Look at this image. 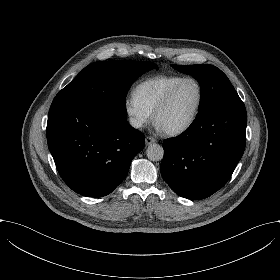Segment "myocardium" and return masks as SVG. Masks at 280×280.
<instances>
[{"label":"myocardium","instance_id":"1","mask_svg":"<svg viewBox=\"0 0 280 280\" xmlns=\"http://www.w3.org/2000/svg\"><path fill=\"white\" fill-rule=\"evenodd\" d=\"M187 81H194L198 85V88H199L198 104H197L196 110L190 120H188L184 124H181L172 129L166 130L169 135H178V134H181V133L187 131L189 128H191L195 124V122L197 121V119L201 113L203 103H204V97H205L204 86L198 78L193 77V76H188V77H184L179 83H177L173 88H171L169 90V92L166 94L164 99L161 101V103L155 109L154 118H155V120H157L160 113L163 112L166 108H168L175 93Z\"/></svg>","mask_w":280,"mask_h":280}]
</instances>
